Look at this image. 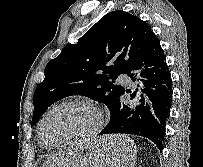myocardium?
<instances>
[{"label": "myocardium", "instance_id": "myocardium-1", "mask_svg": "<svg viewBox=\"0 0 203 167\" xmlns=\"http://www.w3.org/2000/svg\"><path fill=\"white\" fill-rule=\"evenodd\" d=\"M68 105H79V106H83V107H86L89 110H91L96 117L95 125L89 131L85 132L84 134H82L74 139H70L67 141H63L60 143H54V144L46 143L44 140V137H43V125H44L46 119L54 111H56L64 106H68ZM103 125H104L103 113L95 104H93L92 102H90L86 99H82V98L68 99V100H64V101L56 104L42 116V118L39 122V125H38V138H39L41 145H43L45 147H50V148L64 147V146H69L72 144L80 143L83 141H87V140L93 138L101 131V129L103 128Z\"/></svg>", "mask_w": 203, "mask_h": 167}]
</instances>
